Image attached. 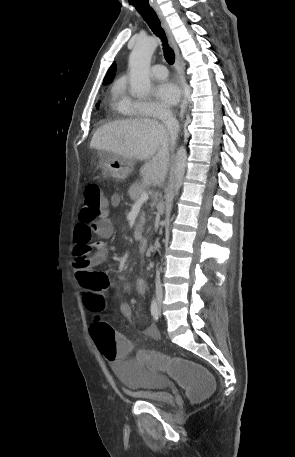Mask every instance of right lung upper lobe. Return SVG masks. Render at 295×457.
I'll use <instances>...</instances> for the list:
<instances>
[{
	"instance_id": "right-lung-upper-lobe-1",
	"label": "right lung upper lobe",
	"mask_w": 295,
	"mask_h": 457,
	"mask_svg": "<svg viewBox=\"0 0 295 457\" xmlns=\"http://www.w3.org/2000/svg\"><path fill=\"white\" fill-rule=\"evenodd\" d=\"M115 70H116V64L113 63L104 78L103 84H107L112 81V79L115 75Z\"/></svg>"
}]
</instances>
